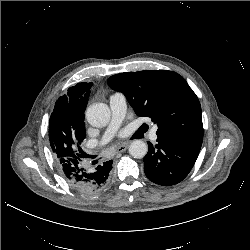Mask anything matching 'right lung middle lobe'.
Returning a JSON list of instances; mask_svg holds the SVG:
<instances>
[{
    "label": "right lung middle lobe",
    "mask_w": 250,
    "mask_h": 250,
    "mask_svg": "<svg viewBox=\"0 0 250 250\" xmlns=\"http://www.w3.org/2000/svg\"><path fill=\"white\" fill-rule=\"evenodd\" d=\"M85 135V128L76 132L73 136L66 135L55 129H49V141L55 159L57 161L81 159L80 144L84 140Z\"/></svg>",
    "instance_id": "right-lung-middle-lobe-1"
}]
</instances>
